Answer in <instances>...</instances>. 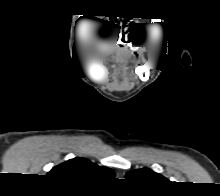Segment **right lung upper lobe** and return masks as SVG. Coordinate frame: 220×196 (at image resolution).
Wrapping results in <instances>:
<instances>
[{
  "label": "right lung upper lobe",
  "mask_w": 220,
  "mask_h": 196,
  "mask_svg": "<svg viewBox=\"0 0 220 196\" xmlns=\"http://www.w3.org/2000/svg\"><path fill=\"white\" fill-rule=\"evenodd\" d=\"M47 175L77 184L93 185L102 180L112 179L114 171L84 158H74L53 167Z\"/></svg>",
  "instance_id": "obj_1"
}]
</instances>
